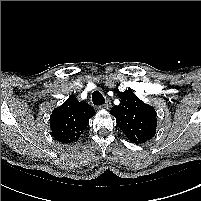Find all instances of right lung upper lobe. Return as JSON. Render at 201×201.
<instances>
[{
  "mask_svg": "<svg viewBox=\"0 0 201 201\" xmlns=\"http://www.w3.org/2000/svg\"><path fill=\"white\" fill-rule=\"evenodd\" d=\"M94 115L95 111L88 103L79 102L76 97L70 96L50 115L53 138L62 143L75 142Z\"/></svg>",
  "mask_w": 201,
  "mask_h": 201,
  "instance_id": "1",
  "label": "right lung upper lobe"
}]
</instances>
